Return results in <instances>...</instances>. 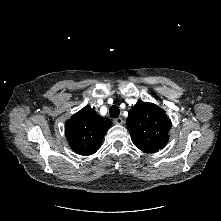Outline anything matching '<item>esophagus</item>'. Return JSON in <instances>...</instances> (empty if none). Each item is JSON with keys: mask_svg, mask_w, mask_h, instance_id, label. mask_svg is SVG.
Returning a JSON list of instances; mask_svg holds the SVG:
<instances>
[{"mask_svg": "<svg viewBox=\"0 0 221 221\" xmlns=\"http://www.w3.org/2000/svg\"><path fill=\"white\" fill-rule=\"evenodd\" d=\"M114 123L117 125L123 124V119L121 117L114 119Z\"/></svg>", "mask_w": 221, "mask_h": 221, "instance_id": "1", "label": "esophagus"}]
</instances>
